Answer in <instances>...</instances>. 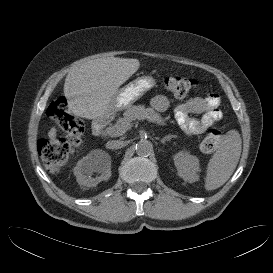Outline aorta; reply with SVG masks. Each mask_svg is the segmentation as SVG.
Segmentation results:
<instances>
[{
	"instance_id": "obj_1",
	"label": "aorta",
	"mask_w": 273,
	"mask_h": 273,
	"mask_svg": "<svg viewBox=\"0 0 273 273\" xmlns=\"http://www.w3.org/2000/svg\"><path fill=\"white\" fill-rule=\"evenodd\" d=\"M153 151V145L150 141L143 139L136 144V153L139 156H148Z\"/></svg>"
}]
</instances>
